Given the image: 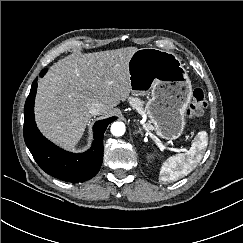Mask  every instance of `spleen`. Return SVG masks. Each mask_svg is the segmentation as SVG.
I'll return each mask as SVG.
<instances>
[{
    "instance_id": "obj_1",
    "label": "spleen",
    "mask_w": 243,
    "mask_h": 243,
    "mask_svg": "<svg viewBox=\"0 0 243 243\" xmlns=\"http://www.w3.org/2000/svg\"><path fill=\"white\" fill-rule=\"evenodd\" d=\"M207 145V132H198L188 152L169 157L165 162H163L160 169L159 181H176L188 175L202 159Z\"/></svg>"
}]
</instances>
